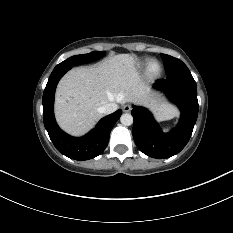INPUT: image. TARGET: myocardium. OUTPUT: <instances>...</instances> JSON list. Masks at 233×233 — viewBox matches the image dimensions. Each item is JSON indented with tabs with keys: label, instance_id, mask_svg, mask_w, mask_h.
<instances>
[{
	"label": "myocardium",
	"instance_id": "myocardium-1",
	"mask_svg": "<svg viewBox=\"0 0 233 233\" xmlns=\"http://www.w3.org/2000/svg\"><path fill=\"white\" fill-rule=\"evenodd\" d=\"M156 64L157 68L154 69L153 65ZM162 71V65L158 60L152 59L147 63L146 66V73L151 76V77H156L158 76Z\"/></svg>",
	"mask_w": 233,
	"mask_h": 233
}]
</instances>
